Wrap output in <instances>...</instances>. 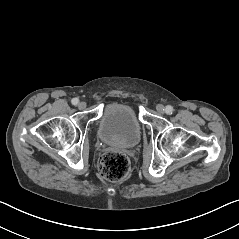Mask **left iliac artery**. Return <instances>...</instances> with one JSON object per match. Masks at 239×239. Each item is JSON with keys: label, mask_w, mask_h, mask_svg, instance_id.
<instances>
[{"label": "left iliac artery", "mask_w": 239, "mask_h": 239, "mask_svg": "<svg viewBox=\"0 0 239 239\" xmlns=\"http://www.w3.org/2000/svg\"><path fill=\"white\" fill-rule=\"evenodd\" d=\"M173 107L172 106H170V105H168V106H166V109H165V112L167 113V114H172L173 113Z\"/></svg>", "instance_id": "left-iliac-artery-1"}]
</instances>
